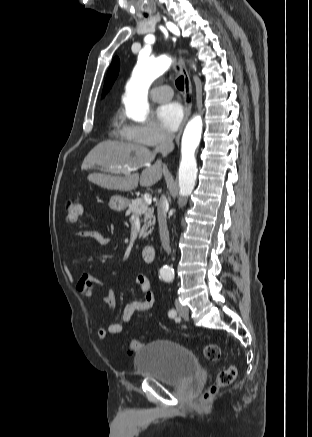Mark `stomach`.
<instances>
[{"label": "stomach", "instance_id": "obj_1", "mask_svg": "<svg viewBox=\"0 0 312 437\" xmlns=\"http://www.w3.org/2000/svg\"><path fill=\"white\" fill-rule=\"evenodd\" d=\"M128 203L129 201L126 198L120 195H114L110 198L109 207L113 211L122 212L126 209Z\"/></svg>", "mask_w": 312, "mask_h": 437}]
</instances>
